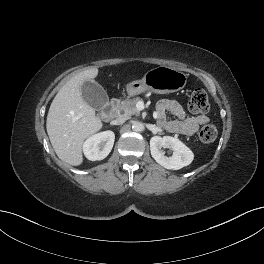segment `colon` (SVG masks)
<instances>
[{
    "label": "colon",
    "mask_w": 264,
    "mask_h": 264,
    "mask_svg": "<svg viewBox=\"0 0 264 264\" xmlns=\"http://www.w3.org/2000/svg\"><path fill=\"white\" fill-rule=\"evenodd\" d=\"M189 109L196 114H204L209 110V101L203 89H195L190 96ZM217 137V129L211 124L203 126L199 132V138L204 143L213 142Z\"/></svg>",
    "instance_id": "obj_1"
}]
</instances>
